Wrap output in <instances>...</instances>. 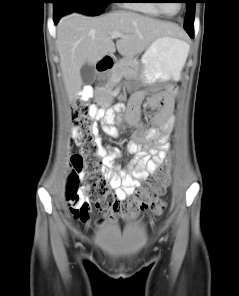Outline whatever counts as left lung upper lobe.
Here are the masks:
<instances>
[{
	"instance_id": "left-lung-upper-lobe-1",
	"label": "left lung upper lobe",
	"mask_w": 239,
	"mask_h": 296,
	"mask_svg": "<svg viewBox=\"0 0 239 296\" xmlns=\"http://www.w3.org/2000/svg\"><path fill=\"white\" fill-rule=\"evenodd\" d=\"M185 3L187 6L184 27H193L196 0H186Z\"/></svg>"
}]
</instances>
